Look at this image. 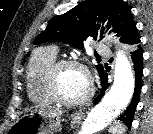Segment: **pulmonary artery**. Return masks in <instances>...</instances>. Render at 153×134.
Here are the masks:
<instances>
[{"label":"pulmonary artery","mask_w":153,"mask_h":134,"mask_svg":"<svg viewBox=\"0 0 153 134\" xmlns=\"http://www.w3.org/2000/svg\"><path fill=\"white\" fill-rule=\"evenodd\" d=\"M96 50H97L99 53L104 54V53L107 52V47H106L104 44L99 43V44H97V46H96Z\"/></svg>","instance_id":"pulmonary-artery-1"}]
</instances>
